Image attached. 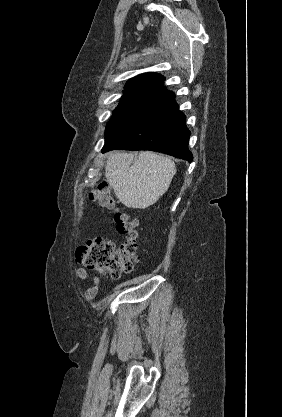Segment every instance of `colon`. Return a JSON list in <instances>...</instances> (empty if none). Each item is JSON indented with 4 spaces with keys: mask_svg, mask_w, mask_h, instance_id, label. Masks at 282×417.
<instances>
[{
    "mask_svg": "<svg viewBox=\"0 0 282 417\" xmlns=\"http://www.w3.org/2000/svg\"><path fill=\"white\" fill-rule=\"evenodd\" d=\"M90 197L94 205L115 212L116 229L127 239L116 248L114 243L106 241L103 236L92 235L86 243L78 247L76 259L89 271L109 275L115 279L120 278L123 274L132 271L139 259L138 221L121 208L107 184L101 183L94 187Z\"/></svg>",
    "mask_w": 282,
    "mask_h": 417,
    "instance_id": "1",
    "label": "colon"
}]
</instances>
